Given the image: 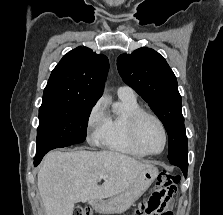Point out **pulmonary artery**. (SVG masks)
Returning <instances> with one entry per match:
<instances>
[{"mask_svg": "<svg viewBox=\"0 0 223 215\" xmlns=\"http://www.w3.org/2000/svg\"><path fill=\"white\" fill-rule=\"evenodd\" d=\"M117 94L122 97H135L134 91L128 86H119L117 88Z\"/></svg>", "mask_w": 223, "mask_h": 215, "instance_id": "1", "label": "pulmonary artery"}]
</instances>
